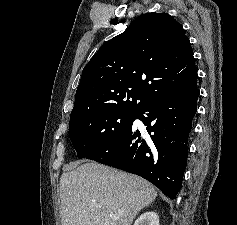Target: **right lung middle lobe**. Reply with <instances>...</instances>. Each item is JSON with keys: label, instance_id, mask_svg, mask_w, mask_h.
Here are the masks:
<instances>
[{"label": "right lung middle lobe", "instance_id": "obj_1", "mask_svg": "<svg viewBox=\"0 0 237 225\" xmlns=\"http://www.w3.org/2000/svg\"><path fill=\"white\" fill-rule=\"evenodd\" d=\"M136 112H107L69 125V137L78 158L104 148L133 122Z\"/></svg>", "mask_w": 237, "mask_h": 225}]
</instances>
